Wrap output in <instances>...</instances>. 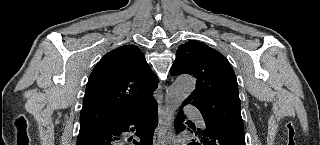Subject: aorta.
<instances>
[{"instance_id": "1", "label": "aorta", "mask_w": 320, "mask_h": 145, "mask_svg": "<svg viewBox=\"0 0 320 145\" xmlns=\"http://www.w3.org/2000/svg\"><path fill=\"white\" fill-rule=\"evenodd\" d=\"M195 88V79L191 76H179L169 88L166 94V112L168 125L175 110L189 96Z\"/></svg>"}]
</instances>
